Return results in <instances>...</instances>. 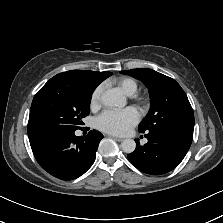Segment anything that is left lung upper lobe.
I'll list each match as a JSON object with an SVG mask.
<instances>
[{
    "mask_svg": "<svg viewBox=\"0 0 223 223\" xmlns=\"http://www.w3.org/2000/svg\"><path fill=\"white\" fill-rule=\"evenodd\" d=\"M148 88L151 107L139 124V132H168L193 139L194 114L181 86L152 69L123 70Z\"/></svg>",
    "mask_w": 223,
    "mask_h": 223,
    "instance_id": "5c2ea615",
    "label": "left lung upper lobe"
}]
</instances>
